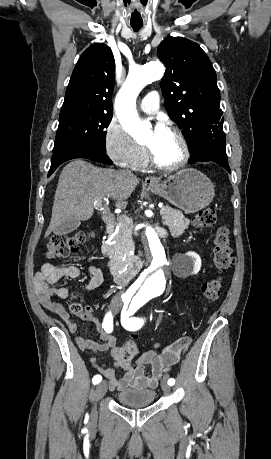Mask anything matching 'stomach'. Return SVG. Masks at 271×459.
Here are the masks:
<instances>
[{
	"instance_id": "1",
	"label": "stomach",
	"mask_w": 271,
	"mask_h": 459,
	"mask_svg": "<svg viewBox=\"0 0 271 459\" xmlns=\"http://www.w3.org/2000/svg\"><path fill=\"white\" fill-rule=\"evenodd\" d=\"M145 190L162 196L186 214H194L207 208L215 196L214 186L209 178L193 168L179 170L159 186H145Z\"/></svg>"
}]
</instances>
